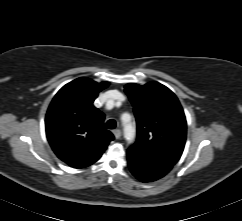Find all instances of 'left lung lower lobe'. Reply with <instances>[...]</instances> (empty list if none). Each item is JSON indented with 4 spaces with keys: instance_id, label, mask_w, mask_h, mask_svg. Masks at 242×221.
<instances>
[{
    "instance_id": "0a47b994",
    "label": "left lung lower lobe",
    "mask_w": 242,
    "mask_h": 221,
    "mask_svg": "<svg viewBox=\"0 0 242 221\" xmlns=\"http://www.w3.org/2000/svg\"><path fill=\"white\" fill-rule=\"evenodd\" d=\"M128 166L132 174L141 182H152L162 178L173 165L147 155L127 150Z\"/></svg>"
}]
</instances>
